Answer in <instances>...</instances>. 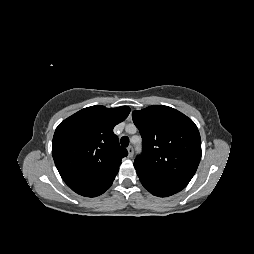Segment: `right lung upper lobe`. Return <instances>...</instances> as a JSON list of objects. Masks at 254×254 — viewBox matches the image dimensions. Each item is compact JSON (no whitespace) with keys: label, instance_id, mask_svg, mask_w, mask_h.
Segmentation results:
<instances>
[{"label":"right lung upper lobe","instance_id":"1","mask_svg":"<svg viewBox=\"0 0 254 254\" xmlns=\"http://www.w3.org/2000/svg\"><path fill=\"white\" fill-rule=\"evenodd\" d=\"M130 108H84L55 130L52 155L65 183L71 187L103 178L119 170L127 150L119 145L113 128L127 118Z\"/></svg>","mask_w":254,"mask_h":254}]
</instances>
